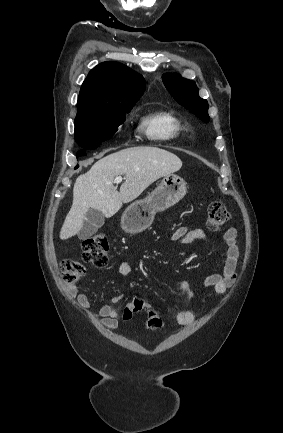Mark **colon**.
<instances>
[{
	"label": "colon",
	"mask_w": 283,
	"mask_h": 433,
	"mask_svg": "<svg viewBox=\"0 0 283 433\" xmlns=\"http://www.w3.org/2000/svg\"><path fill=\"white\" fill-rule=\"evenodd\" d=\"M230 220V214L225 206L219 201H212L207 207L206 225L212 231L220 230ZM109 242L105 234H95L82 243V258L86 263L96 268L106 267L108 262ZM63 279L68 285L75 284L82 274L84 267L81 263L73 260H65L61 265ZM142 300L135 299L129 303L123 312V318L130 320L133 315L144 308ZM163 324L162 317L155 311H148L146 327L149 330H157Z\"/></svg>",
	"instance_id": "colon-1"
}]
</instances>
